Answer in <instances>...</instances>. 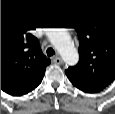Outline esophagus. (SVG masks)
Wrapping results in <instances>:
<instances>
[{
    "label": "esophagus",
    "mask_w": 115,
    "mask_h": 114,
    "mask_svg": "<svg viewBox=\"0 0 115 114\" xmlns=\"http://www.w3.org/2000/svg\"><path fill=\"white\" fill-rule=\"evenodd\" d=\"M52 61L55 63V64H62L63 61L60 57H53L52 58Z\"/></svg>",
    "instance_id": "1"
}]
</instances>
